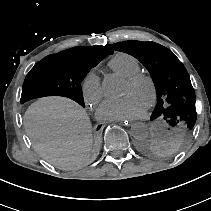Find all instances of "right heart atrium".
Instances as JSON below:
<instances>
[{"mask_svg":"<svg viewBox=\"0 0 211 211\" xmlns=\"http://www.w3.org/2000/svg\"><path fill=\"white\" fill-rule=\"evenodd\" d=\"M81 93L84 101L96 106L104 96L100 76L95 71L88 72L81 82Z\"/></svg>","mask_w":211,"mask_h":211,"instance_id":"obj_1","label":"right heart atrium"}]
</instances>
